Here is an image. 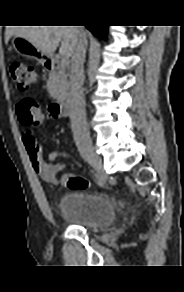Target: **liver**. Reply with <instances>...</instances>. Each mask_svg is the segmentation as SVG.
<instances>
[{"label":"liver","instance_id":"liver-1","mask_svg":"<svg viewBox=\"0 0 184 292\" xmlns=\"http://www.w3.org/2000/svg\"><path fill=\"white\" fill-rule=\"evenodd\" d=\"M12 36L25 38L49 57L61 42L59 53L69 58L79 34L76 26H9L6 28V41Z\"/></svg>","mask_w":184,"mask_h":292}]
</instances>
